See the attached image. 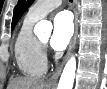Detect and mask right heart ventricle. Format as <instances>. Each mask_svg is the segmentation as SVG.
<instances>
[{"label":"right heart ventricle","instance_id":"1","mask_svg":"<svg viewBox=\"0 0 107 89\" xmlns=\"http://www.w3.org/2000/svg\"><path fill=\"white\" fill-rule=\"evenodd\" d=\"M37 20L29 14L25 16L14 44V56L19 70L31 77L44 75L47 68L43 47L33 32Z\"/></svg>","mask_w":107,"mask_h":89}]
</instances>
